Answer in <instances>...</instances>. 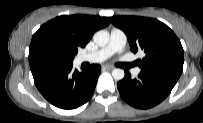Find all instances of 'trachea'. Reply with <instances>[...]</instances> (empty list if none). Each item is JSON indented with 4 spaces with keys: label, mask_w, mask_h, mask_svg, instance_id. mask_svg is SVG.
Segmentation results:
<instances>
[{
    "label": "trachea",
    "mask_w": 203,
    "mask_h": 123,
    "mask_svg": "<svg viewBox=\"0 0 203 123\" xmlns=\"http://www.w3.org/2000/svg\"><path fill=\"white\" fill-rule=\"evenodd\" d=\"M132 66V64H123V67L124 68H129V67H131Z\"/></svg>",
    "instance_id": "1"
}]
</instances>
